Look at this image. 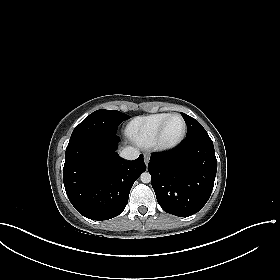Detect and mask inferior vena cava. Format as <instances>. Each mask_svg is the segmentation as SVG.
<instances>
[{
	"mask_svg": "<svg viewBox=\"0 0 280 280\" xmlns=\"http://www.w3.org/2000/svg\"><path fill=\"white\" fill-rule=\"evenodd\" d=\"M139 154V150L133 147H126L120 152V156L125 160H135Z\"/></svg>",
	"mask_w": 280,
	"mask_h": 280,
	"instance_id": "obj_1",
	"label": "inferior vena cava"
}]
</instances>
